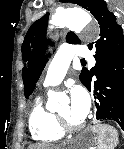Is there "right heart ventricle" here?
Segmentation results:
<instances>
[{
	"label": "right heart ventricle",
	"mask_w": 124,
	"mask_h": 149,
	"mask_svg": "<svg viewBox=\"0 0 124 149\" xmlns=\"http://www.w3.org/2000/svg\"><path fill=\"white\" fill-rule=\"evenodd\" d=\"M28 125L31 138L39 143H53L64 136L57 126L54 112L47 109L41 96L35 100L29 112Z\"/></svg>",
	"instance_id": "e07e8e85"
}]
</instances>
